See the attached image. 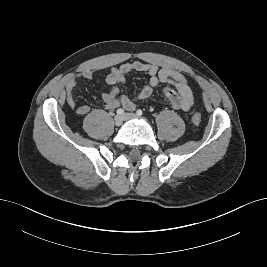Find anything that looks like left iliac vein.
<instances>
[{
    "label": "left iliac vein",
    "mask_w": 267,
    "mask_h": 267,
    "mask_svg": "<svg viewBox=\"0 0 267 267\" xmlns=\"http://www.w3.org/2000/svg\"><path fill=\"white\" fill-rule=\"evenodd\" d=\"M138 116L136 114L133 113H127L124 115V119L129 120V119H137Z\"/></svg>",
    "instance_id": "1"
}]
</instances>
